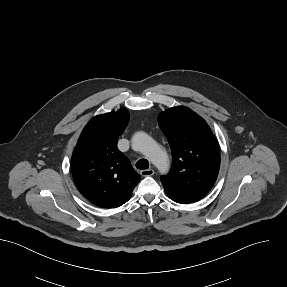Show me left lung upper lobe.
I'll return each mask as SVG.
<instances>
[{"label":"left lung upper lobe","instance_id":"5c2ea615","mask_svg":"<svg viewBox=\"0 0 287 287\" xmlns=\"http://www.w3.org/2000/svg\"><path fill=\"white\" fill-rule=\"evenodd\" d=\"M158 121L173 156L170 172L161 176L165 192L177 203H193L205 196L217 179V141L204 119L187 107L170 108Z\"/></svg>","mask_w":287,"mask_h":287}]
</instances>
